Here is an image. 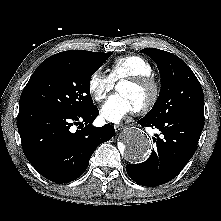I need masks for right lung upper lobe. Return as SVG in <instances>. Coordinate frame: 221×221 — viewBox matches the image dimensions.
<instances>
[{
    "label": "right lung upper lobe",
    "mask_w": 221,
    "mask_h": 221,
    "mask_svg": "<svg viewBox=\"0 0 221 221\" xmlns=\"http://www.w3.org/2000/svg\"><path fill=\"white\" fill-rule=\"evenodd\" d=\"M98 55V52L84 51V50H70L60 52L51 56L53 59H65L78 62H88L93 60Z\"/></svg>",
    "instance_id": "cb5924a9"
}]
</instances>
